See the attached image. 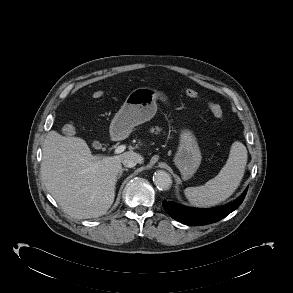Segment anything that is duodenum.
<instances>
[{
  "instance_id": "1",
  "label": "duodenum",
  "mask_w": 293,
  "mask_h": 293,
  "mask_svg": "<svg viewBox=\"0 0 293 293\" xmlns=\"http://www.w3.org/2000/svg\"><path fill=\"white\" fill-rule=\"evenodd\" d=\"M115 138L116 139H119L120 138V135L119 134H115Z\"/></svg>"
}]
</instances>
